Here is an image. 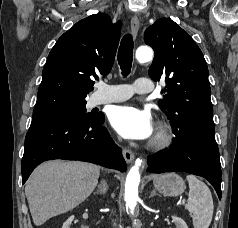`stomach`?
Wrapping results in <instances>:
<instances>
[{
	"label": "stomach",
	"mask_w": 238,
	"mask_h": 228,
	"mask_svg": "<svg viewBox=\"0 0 238 228\" xmlns=\"http://www.w3.org/2000/svg\"><path fill=\"white\" fill-rule=\"evenodd\" d=\"M154 187L165 196L181 195L185 188V181L176 173H165L153 177Z\"/></svg>",
	"instance_id": "stomach-1"
}]
</instances>
